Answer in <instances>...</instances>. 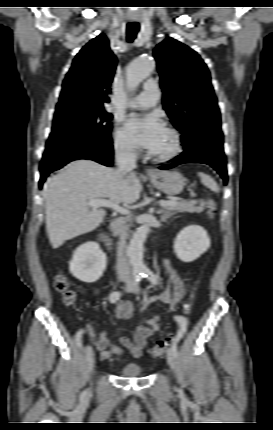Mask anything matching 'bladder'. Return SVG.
<instances>
[{
  "label": "bladder",
  "mask_w": 273,
  "mask_h": 430,
  "mask_svg": "<svg viewBox=\"0 0 273 430\" xmlns=\"http://www.w3.org/2000/svg\"><path fill=\"white\" fill-rule=\"evenodd\" d=\"M142 372V367L136 363L128 364L120 370L121 375L124 377H138Z\"/></svg>",
  "instance_id": "31cf9c89"
}]
</instances>
